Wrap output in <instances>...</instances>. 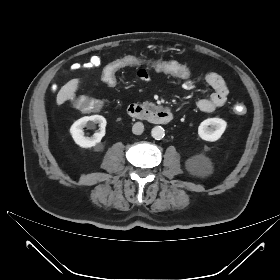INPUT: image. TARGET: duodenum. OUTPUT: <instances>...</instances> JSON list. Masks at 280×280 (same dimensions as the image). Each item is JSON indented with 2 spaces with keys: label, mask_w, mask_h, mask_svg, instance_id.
Returning <instances> with one entry per match:
<instances>
[{
  "label": "duodenum",
  "mask_w": 280,
  "mask_h": 280,
  "mask_svg": "<svg viewBox=\"0 0 280 280\" xmlns=\"http://www.w3.org/2000/svg\"><path fill=\"white\" fill-rule=\"evenodd\" d=\"M133 119L147 120L153 124L166 125L173 120V113L167 109L151 111L138 103H131L127 108Z\"/></svg>",
  "instance_id": "410a0bca"
}]
</instances>
